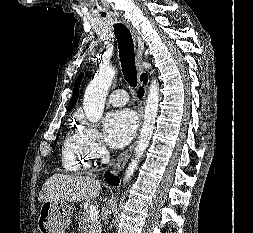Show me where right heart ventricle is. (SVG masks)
Returning <instances> with one entry per match:
<instances>
[{"label": "right heart ventricle", "mask_w": 253, "mask_h": 233, "mask_svg": "<svg viewBox=\"0 0 253 233\" xmlns=\"http://www.w3.org/2000/svg\"><path fill=\"white\" fill-rule=\"evenodd\" d=\"M91 154L81 131H69L62 143L61 164L70 172H80L90 166Z\"/></svg>", "instance_id": "1"}]
</instances>
